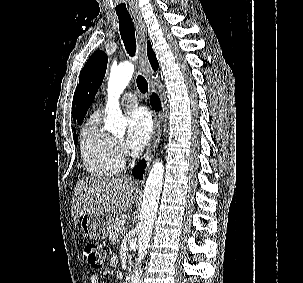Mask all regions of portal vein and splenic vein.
<instances>
[{"mask_svg":"<svg viewBox=\"0 0 303 283\" xmlns=\"http://www.w3.org/2000/svg\"><path fill=\"white\" fill-rule=\"evenodd\" d=\"M125 232H126V229L123 228L122 231H121V233H122V234H125Z\"/></svg>","mask_w":303,"mask_h":283,"instance_id":"1","label":"portal vein and splenic vein"}]
</instances>
